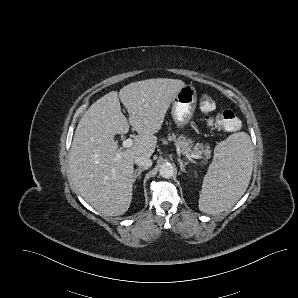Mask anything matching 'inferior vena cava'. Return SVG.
I'll return each instance as SVG.
<instances>
[{
  "mask_svg": "<svg viewBox=\"0 0 298 298\" xmlns=\"http://www.w3.org/2000/svg\"><path fill=\"white\" fill-rule=\"evenodd\" d=\"M135 163L139 166L150 168L153 165L152 159L146 156H136L134 159Z\"/></svg>",
  "mask_w": 298,
  "mask_h": 298,
  "instance_id": "602c4592",
  "label": "inferior vena cava"
}]
</instances>
